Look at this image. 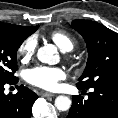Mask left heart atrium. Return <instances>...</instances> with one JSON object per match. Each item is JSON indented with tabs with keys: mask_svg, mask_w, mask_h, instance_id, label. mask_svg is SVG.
Instances as JSON below:
<instances>
[{
	"mask_svg": "<svg viewBox=\"0 0 118 118\" xmlns=\"http://www.w3.org/2000/svg\"><path fill=\"white\" fill-rule=\"evenodd\" d=\"M25 78L41 89L56 90L59 82L66 78V73L60 67L36 66L26 71Z\"/></svg>",
	"mask_w": 118,
	"mask_h": 118,
	"instance_id": "39dd6f15",
	"label": "left heart atrium"
}]
</instances>
